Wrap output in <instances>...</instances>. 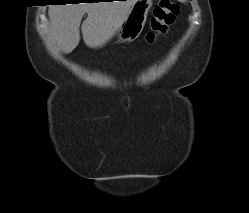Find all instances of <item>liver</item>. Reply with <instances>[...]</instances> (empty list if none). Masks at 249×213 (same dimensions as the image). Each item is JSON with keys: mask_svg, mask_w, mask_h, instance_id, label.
I'll return each mask as SVG.
<instances>
[{"mask_svg": "<svg viewBox=\"0 0 249 213\" xmlns=\"http://www.w3.org/2000/svg\"><path fill=\"white\" fill-rule=\"evenodd\" d=\"M136 0L50 5V34L59 49L71 53L80 41V24L84 43L90 48L103 47L125 20Z\"/></svg>", "mask_w": 249, "mask_h": 213, "instance_id": "obj_1", "label": "liver"}]
</instances>
